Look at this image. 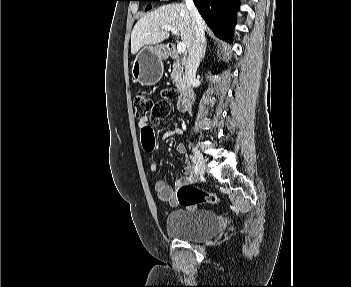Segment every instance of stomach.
<instances>
[{"label":"stomach","instance_id":"obj_1","mask_svg":"<svg viewBox=\"0 0 351 287\" xmlns=\"http://www.w3.org/2000/svg\"><path fill=\"white\" fill-rule=\"evenodd\" d=\"M165 54V50L160 46L143 47L132 63L134 81L145 86L157 84L164 72L162 61Z\"/></svg>","mask_w":351,"mask_h":287}]
</instances>
